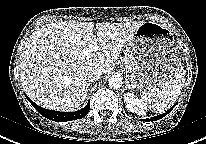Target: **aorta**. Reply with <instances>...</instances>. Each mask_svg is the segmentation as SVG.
Listing matches in <instances>:
<instances>
[{
    "label": "aorta",
    "instance_id": "obj_1",
    "mask_svg": "<svg viewBox=\"0 0 206 144\" xmlns=\"http://www.w3.org/2000/svg\"><path fill=\"white\" fill-rule=\"evenodd\" d=\"M108 85L110 88L118 89L122 85V78L119 76H111L108 79Z\"/></svg>",
    "mask_w": 206,
    "mask_h": 144
}]
</instances>
